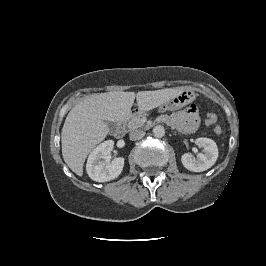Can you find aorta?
Here are the masks:
<instances>
[{
    "mask_svg": "<svg viewBox=\"0 0 266 266\" xmlns=\"http://www.w3.org/2000/svg\"><path fill=\"white\" fill-rule=\"evenodd\" d=\"M153 135L157 138H162L165 135V129L163 126L158 125L153 128Z\"/></svg>",
    "mask_w": 266,
    "mask_h": 266,
    "instance_id": "762f6f07",
    "label": "aorta"
}]
</instances>
